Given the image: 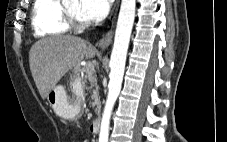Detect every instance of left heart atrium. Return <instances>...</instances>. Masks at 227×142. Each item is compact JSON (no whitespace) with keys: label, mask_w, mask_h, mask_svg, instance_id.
I'll return each mask as SVG.
<instances>
[{"label":"left heart atrium","mask_w":227,"mask_h":142,"mask_svg":"<svg viewBox=\"0 0 227 142\" xmlns=\"http://www.w3.org/2000/svg\"><path fill=\"white\" fill-rule=\"evenodd\" d=\"M113 0H79V11L87 21H99L106 17Z\"/></svg>","instance_id":"obj_1"}]
</instances>
